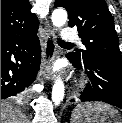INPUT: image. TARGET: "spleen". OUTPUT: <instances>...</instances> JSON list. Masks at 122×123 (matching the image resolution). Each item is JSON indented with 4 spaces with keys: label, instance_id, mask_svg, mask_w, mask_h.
I'll return each instance as SVG.
<instances>
[{
    "label": "spleen",
    "instance_id": "obj_1",
    "mask_svg": "<svg viewBox=\"0 0 122 123\" xmlns=\"http://www.w3.org/2000/svg\"><path fill=\"white\" fill-rule=\"evenodd\" d=\"M83 118L86 123H112L111 120H118L120 114L108 104L87 102L76 106L71 115V123H81Z\"/></svg>",
    "mask_w": 122,
    "mask_h": 123
}]
</instances>
